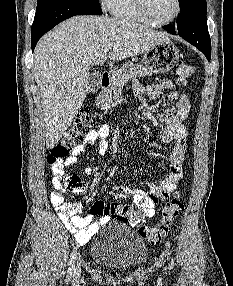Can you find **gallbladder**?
Segmentation results:
<instances>
[{
    "mask_svg": "<svg viewBox=\"0 0 233 286\" xmlns=\"http://www.w3.org/2000/svg\"><path fill=\"white\" fill-rule=\"evenodd\" d=\"M100 81H101V74L97 72H93L90 74L89 77V90L91 92L96 91L99 86H100Z\"/></svg>",
    "mask_w": 233,
    "mask_h": 286,
    "instance_id": "obj_1",
    "label": "gallbladder"
}]
</instances>
